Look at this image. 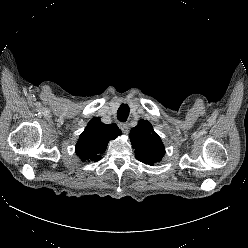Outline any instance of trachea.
<instances>
[{"label":"trachea","mask_w":248,"mask_h":248,"mask_svg":"<svg viewBox=\"0 0 248 248\" xmlns=\"http://www.w3.org/2000/svg\"><path fill=\"white\" fill-rule=\"evenodd\" d=\"M129 116V106L127 104H122L117 111V118L121 122L127 121Z\"/></svg>","instance_id":"3493384b"}]
</instances>
